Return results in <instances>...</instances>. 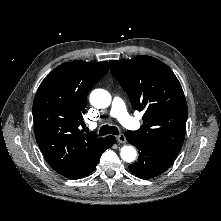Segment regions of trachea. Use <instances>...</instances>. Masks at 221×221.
<instances>
[{
    "mask_svg": "<svg viewBox=\"0 0 221 221\" xmlns=\"http://www.w3.org/2000/svg\"><path fill=\"white\" fill-rule=\"evenodd\" d=\"M107 134L118 135L119 130L115 126L103 125L100 128L99 136H104V135H107Z\"/></svg>",
    "mask_w": 221,
    "mask_h": 221,
    "instance_id": "obj_1",
    "label": "trachea"
}]
</instances>
